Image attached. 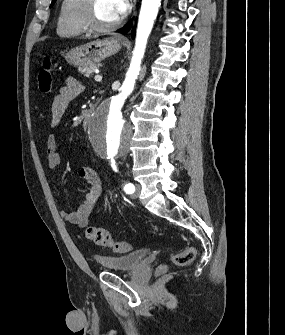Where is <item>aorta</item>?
<instances>
[{"mask_svg":"<svg viewBox=\"0 0 285 335\" xmlns=\"http://www.w3.org/2000/svg\"><path fill=\"white\" fill-rule=\"evenodd\" d=\"M161 0H142L139 14L135 48L126 78L120 90H114L113 95H107L96 106L97 112H92L89 126L85 134L92 138L91 147H97L96 156L101 160H120L125 152H130L131 138L134 130L126 125L123 119L126 102H132V92L141 70L142 58L145 54L147 40L157 18Z\"/></svg>","mask_w":285,"mask_h":335,"instance_id":"762f6f07","label":"aorta"}]
</instances>
